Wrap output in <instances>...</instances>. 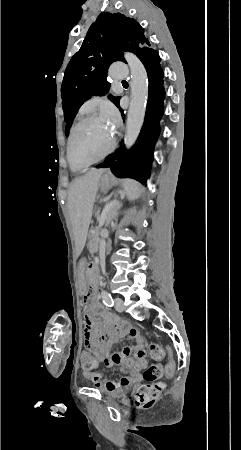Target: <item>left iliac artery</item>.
<instances>
[{
	"label": "left iliac artery",
	"instance_id": "obj_1",
	"mask_svg": "<svg viewBox=\"0 0 241 450\" xmlns=\"http://www.w3.org/2000/svg\"><path fill=\"white\" fill-rule=\"evenodd\" d=\"M102 298H103V303L108 306V307H112L114 305V301L112 299V296L110 293H108L107 291H102Z\"/></svg>",
	"mask_w": 241,
	"mask_h": 450
}]
</instances>
